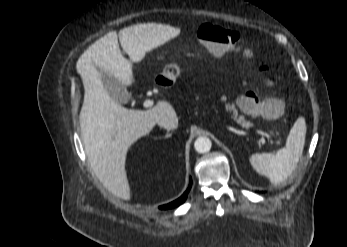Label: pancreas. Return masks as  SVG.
Wrapping results in <instances>:
<instances>
[{
	"mask_svg": "<svg viewBox=\"0 0 347 247\" xmlns=\"http://www.w3.org/2000/svg\"><path fill=\"white\" fill-rule=\"evenodd\" d=\"M225 107H226V111L231 113V117L233 119H235L236 121H238V123H240L242 125L245 124L243 120L238 119V111H237V109L235 108L234 105H231V104L227 103L225 105Z\"/></svg>",
	"mask_w": 347,
	"mask_h": 247,
	"instance_id": "obj_1",
	"label": "pancreas"
}]
</instances>
